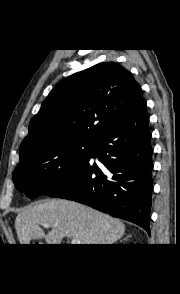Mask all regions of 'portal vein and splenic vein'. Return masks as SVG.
<instances>
[{
    "instance_id": "1",
    "label": "portal vein and splenic vein",
    "mask_w": 180,
    "mask_h": 294,
    "mask_svg": "<svg viewBox=\"0 0 180 294\" xmlns=\"http://www.w3.org/2000/svg\"><path fill=\"white\" fill-rule=\"evenodd\" d=\"M42 226L45 227V228H48L50 225H49V223H42ZM71 244L78 245V244H81V242H80V240L78 238H73L71 240Z\"/></svg>"
}]
</instances>
